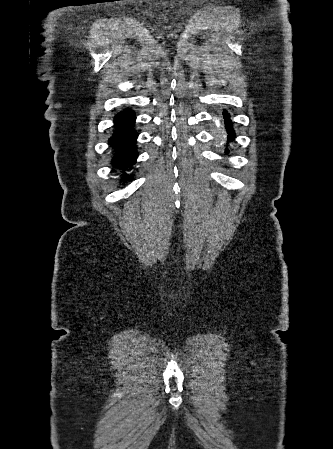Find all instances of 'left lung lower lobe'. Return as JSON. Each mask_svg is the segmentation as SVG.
<instances>
[{"instance_id":"0a47b994","label":"left lung lower lobe","mask_w":333,"mask_h":449,"mask_svg":"<svg viewBox=\"0 0 333 449\" xmlns=\"http://www.w3.org/2000/svg\"><path fill=\"white\" fill-rule=\"evenodd\" d=\"M223 115H224V118H225V123L227 125L226 129H227L228 134H229L228 138H229V140H233L235 138V133H234V130L232 129V127H231V122L229 120L230 116H229V114L226 111L223 112ZM226 153H228V151H226Z\"/></svg>"}]
</instances>
